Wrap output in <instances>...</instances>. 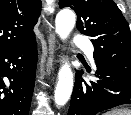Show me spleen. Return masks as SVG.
Listing matches in <instances>:
<instances>
[{"label":"spleen","mask_w":131,"mask_h":115,"mask_svg":"<svg viewBox=\"0 0 131 115\" xmlns=\"http://www.w3.org/2000/svg\"><path fill=\"white\" fill-rule=\"evenodd\" d=\"M104 115H131V110L116 109V110H112L110 112H107Z\"/></svg>","instance_id":"3e777b00"}]
</instances>
